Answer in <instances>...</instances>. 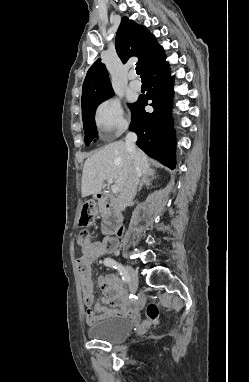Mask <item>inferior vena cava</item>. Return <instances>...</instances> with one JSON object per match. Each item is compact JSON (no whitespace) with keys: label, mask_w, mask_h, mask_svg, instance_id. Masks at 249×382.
<instances>
[{"label":"inferior vena cava","mask_w":249,"mask_h":382,"mask_svg":"<svg viewBox=\"0 0 249 382\" xmlns=\"http://www.w3.org/2000/svg\"><path fill=\"white\" fill-rule=\"evenodd\" d=\"M137 141V135L133 132L127 133L125 137L126 148L130 153L132 160L131 167L126 178V182L123 190L120 192L117 204L119 210H124L134 199L137 193V187L140 181V169L137 163V151L135 143Z\"/></svg>","instance_id":"obj_1"}]
</instances>
